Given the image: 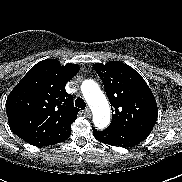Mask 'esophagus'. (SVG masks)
I'll return each mask as SVG.
<instances>
[{
    "mask_svg": "<svg viewBox=\"0 0 182 182\" xmlns=\"http://www.w3.org/2000/svg\"><path fill=\"white\" fill-rule=\"evenodd\" d=\"M84 115L86 116V117H88V118H90L91 117V110L89 109V108H87V109H85L84 110Z\"/></svg>",
    "mask_w": 182,
    "mask_h": 182,
    "instance_id": "esophagus-1",
    "label": "esophagus"
}]
</instances>
